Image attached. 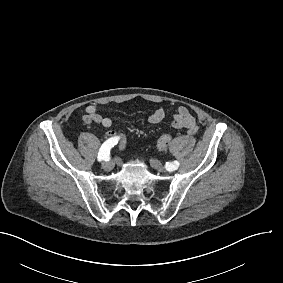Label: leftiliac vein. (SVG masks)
Segmentation results:
<instances>
[{
	"label": "left iliac vein",
	"mask_w": 283,
	"mask_h": 283,
	"mask_svg": "<svg viewBox=\"0 0 283 283\" xmlns=\"http://www.w3.org/2000/svg\"><path fill=\"white\" fill-rule=\"evenodd\" d=\"M150 162H151V164L153 165V167L155 168V169H157L158 171H161L162 170V165H161V163L157 160V159H153V158H151L150 159ZM169 171H173L174 170V168H167Z\"/></svg>",
	"instance_id": "1"
}]
</instances>
